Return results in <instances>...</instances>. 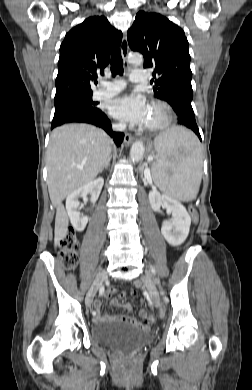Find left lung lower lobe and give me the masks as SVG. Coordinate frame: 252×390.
I'll list each match as a JSON object with an SVG mask.
<instances>
[{"mask_svg":"<svg viewBox=\"0 0 252 390\" xmlns=\"http://www.w3.org/2000/svg\"><path fill=\"white\" fill-rule=\"evenodd\" d=\"M172 108L177 115V123L193 130L201 140L191 103L186 101H178L172 106Z\"/></svg>","mask_w":252,"mask_h":390,"instance_id":"obj_1","label":"left lung lower lobe"}]
</instances>
